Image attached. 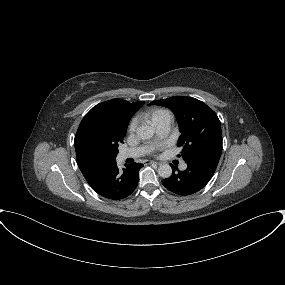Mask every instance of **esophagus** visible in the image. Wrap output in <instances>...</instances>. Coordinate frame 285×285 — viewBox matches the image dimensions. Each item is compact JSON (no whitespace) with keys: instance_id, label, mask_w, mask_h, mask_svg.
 <instances>
[{"instance_id":"34e87169","label":"esophagus","mask_w":285,"mask_h":285,"mask_svg":"<svg viewBox=\"0 0 285 285\" xmlns=\"http://www.w3.org/2000/svg\"><path fill=\"white\" fill-rule=\"evenodd\" d=\"M148 163L149 164H156V165H160L161 164L160 162H156V161H149Z\"/></svg>"}]
</instances>
